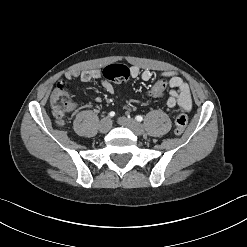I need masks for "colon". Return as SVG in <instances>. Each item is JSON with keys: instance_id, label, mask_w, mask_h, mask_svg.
I'll return each mask as SVG.
<instances>
[{"instance_id": "colon-1", "label": "colon", "mask_w": 247, "mask_h": 247, "mask_svg": "<svg viewBox=\"0 0 247 247\" xmlns=\"http://www.w3.org/2000/svg\"><path fill=\"white\" fill-rule=\"evenodd\" d=\"M102 75L110 81L123 82L129 78L130 69L122 64H112L103 69ZM165 87L166 81L159 80L151 89L150 95L155 98L161 97ZM50 103L54 114L58 118H62L64 113L72 108L73 104L71 97L63 83L57 84L51 95ZM186 124L187 116L183 110H180L175 118L174 133L176 135H181L185 130Z\"/></svg>"}]
</instances>
